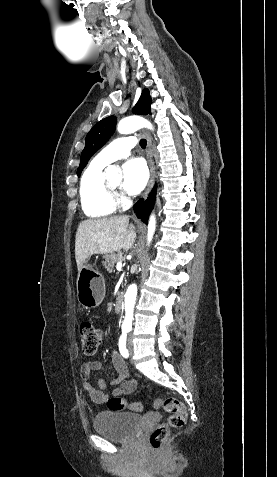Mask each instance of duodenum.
Instances as JSON below:
<instances>
[{"label": "duodenum", "mask_w": 277, "mask_h": 477, "mask_svg": "<svg viewBox=\"0 0 277 477\" xmlns=\"http://www.w3.org/2000/svg\"><path fill=\"white\" fill-rule=\"evenodd\" d=\"M123 308V299L121 296L117 297L114 303V310L116 313H120Z\"/></svg>", "instance_id": "obj_1"}]
</instances>
